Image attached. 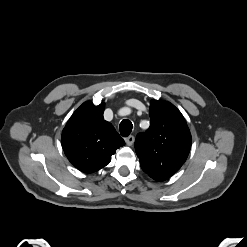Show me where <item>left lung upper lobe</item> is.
<instances>
[{
  "mask_svg": "<svg viewBox=\"0 0 247 247\" xmlns=\"http://www.w3.org/2000/svg\"><path fill=\"white\" fill-rule=\"evenodd\" d=\"M150 118L149 129L136 137L135 150L143 171L162 182L187 159L191 134L183 115L170 102L151 100Z\"/></svg>",
  "mask_w": 247,
  "mask_h": 247,
  "instance_id": "1",
  "label": "left lung upper lobe"
}]
</instances>
